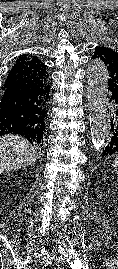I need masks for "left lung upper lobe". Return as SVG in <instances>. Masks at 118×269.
<instances>
[{
	"mask_svg": "<svg viewBox=\"0 0 118 269\" xmlns=\"http://www.w3.org/2000/svg\"><path fill=\"white\" fill-rule=\"evenodd\" d=\"M100 59L106 66L108 74V90L112 96L118 97V53L104 46H96L92 59Z\"/></svg>",
	"mask_w": 118,
	"mask_h": 269,
	"instance_id": "5c2ea615",
	"label": "left lung upper lobe"
}]
</instances>
